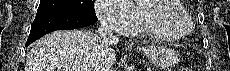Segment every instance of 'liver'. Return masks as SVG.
<instances>
[{"mask_svg":"<svg viewBox=\"0 0 230 71\" xmlns=\"http://www.w3.org/2000/svg\"><path fill=\"white\" fill-rule=\"evenodd\" d=\"M118 41V40H117ZM90 31H56L37 40L25 71H110L115 51Z\"/></svg>","mask_w":230,"mask_h":71,"instance_id":"1","label":"liver"}]
</instances>
